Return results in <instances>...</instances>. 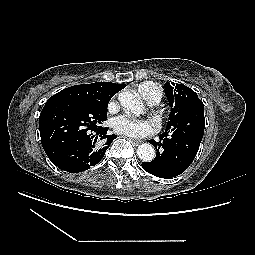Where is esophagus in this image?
<instances>
[{
  "mask_svg": "<svg viewBox=\"0 0 255 255\" xmlns=\"http://www.w3.org/2000/svg\"><path fill=\"white\" fill-rule=\"evenodd\" d=\"M129 140H130L134 145H139V144L141 143V140H139V139L129 138Z\"/></svg>",
  "mask_w": 255,
  "mask_h": 255,
  "instance_id": "esophagus-1",
  "label": "esophagus"
}]
</instances>
